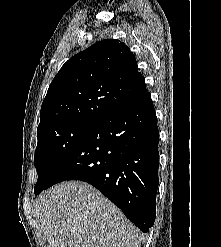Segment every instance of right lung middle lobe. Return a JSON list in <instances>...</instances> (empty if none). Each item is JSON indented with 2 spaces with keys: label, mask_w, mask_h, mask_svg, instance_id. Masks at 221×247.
Masks as SVG:
<instances>
[{
  "label": "right lung middle lobe",
  "mask_w": 221,
  "mask_h": 247,
  "mask_svg": "<svg viewBox=\"0 0 221 247\" xmlns=\"http://www.w3.org/2000/svg\"><path fill=\"white\" fill-rule=\"evenodd\" d=\"M97 124L73 122L45 129L37 133L35 167L38 180L34 193L40 194L76 146Z\"/></svg>",
  "instance_id": "dd1d6c3e"
}]
</instances>
